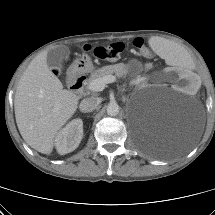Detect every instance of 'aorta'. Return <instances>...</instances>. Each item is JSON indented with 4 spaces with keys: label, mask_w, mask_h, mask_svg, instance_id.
<instances>
[{
    "label": "aorta",
    "mask_w": 215,
    "mask_h": 215,
    "mask_svg": "<svg viewBox=\"0 0 215 215\" xmlns=\"http://www.w3.org/2000/svg\"><path fill=\"white\" fill-rule=\"evenodd\" d=\"M106 111L109 116H116L120 111V107L116 102H110L107 106Z\"/></svg>",
    "instance_id": "aorta-1"
}]
</instances>
